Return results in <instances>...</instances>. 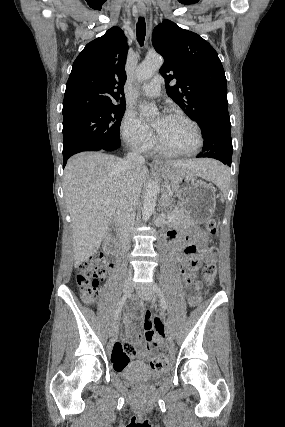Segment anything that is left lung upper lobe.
<instances>
[{
	"label": "left lung upper lobe",
	"mask_w": 285,
	"mask_h": 427,
	"mask_svg": "<svg viewBox=\"0 0 285 427\" xmlns=\"http://www.w3.org/2000/svg\"><path fill=\"white\" fill-rule=\"evenodd\" d=\"M152 44L164 57L160 73L166 92L199 126L230 122L227 81L214 48L198 34L164 20L153 31ZM171 80L176 85L169 86Z\"/></svg>",
	"instance_id": "1"
}]
</instances>
